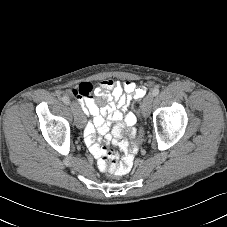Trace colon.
Returning <instances> with one entry per match:
<instances>
[{"label": "colon", "mask_w": 227, "mask_h": 227, "mask_svg": "<svg viewBox=\"0 0 227 227\" xmlns=\"http://www.w3.org/2000/svg\"><path fill=\"white\" fill-rule=\"evenodd\" d=\"M133 108L136 111V113L140 112L141 106L140 102L136 101L133 104ZM137 140L133 144L132 151L134 153H137L140 149V145L143 143V140L141 139L144 136V133L142 131H139L137 133ZM98 164L101 165L104 170L108 171L110 174L118 176L122 175L130 170L133 164V156L131 152L128 150L125 154V161L123 164L118 163L115 155L106 153L103 154L100 159L98 160Z\"/></svg>", "instance_id": "1"}]
</instances>
